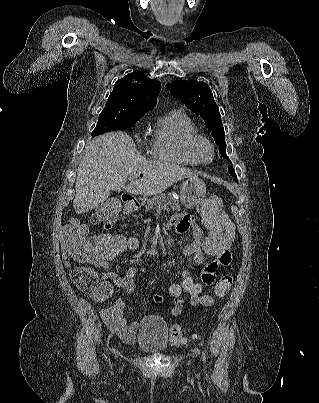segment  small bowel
Masks as SVG:
<instances>
[{
    "label": "small bowel",
    "instance_id": "small-bowel-1",
    "mask_svg": "<svg viewBox=\"0 0 319 403\" xmlns=\"http://www.w3.org/2000/svg\"><path fill=\"white\" fill-rule=\"evenodd\" d=\"M200 209V206H199ZM170 225L174 226L176 231L180 234L190 232L192 236V242L186 244L182 248V252L185 255H194V261L198 266V259L202 255V250L205 249L206 237L203 230L196 224L194 218L187 213H180L174 215L170 219ZM88 239V237H86ZM137 240V239H136ZM233 252L231 249H224L221 251L220 258H216L215 264H209L208 267H203V280L204 286H211L215 281L218 270L226 267L230 263ZM65 266L67 268H73V264L67 259L69 257L68 252L65 250ZM114 258H98L96 260H87L91 267L97 270H101L100 285H95L92 292L93 300H111L112 294L115 292L116 285L120 290L125 293L131 294L134 292V276L136 275L137 268L131 265L124 276H119L109 271L110 261ZM74 269H90L88 267H75ZM91 270V269H90ZM181 275H191L187 270L183 271ZM113 283L114 285H108ZM176 291H169V296L172 300L173 315H179L182 309L176 306L179 300L175 297ZM191 305L212 306L214 299L208 294L203 296H195L194 300H186ZM125 300L118 298L112 305L106 306L101 310V317L107 327L110 329L112 335H117L123 342L131 344L136 341V334L139 331V325L137 323H128L127 318L124 315Z\"/></svg>",
    "mask_w": 319,
    "mask_h": 403
}]
</instances>
